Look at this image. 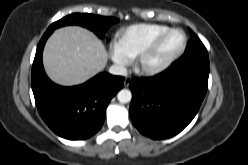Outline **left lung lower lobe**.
<instances>
[{"label":"left lung lower lobe","mask_w":248,"mask_h":165,"mask_svg":"<svg viewBox=\"0 0 248 165\" xmlns=\"http://www.w3.org/2000/svg\"><path fill=\"white\" fill-rule=\"evenodd\" d=\"M209 57L205 47L195 48L164 72L133 78L130 118L152 139H166L183 130L195 117L208 88Z\"/></svg>","instance_id":"1"}]
</instances>
